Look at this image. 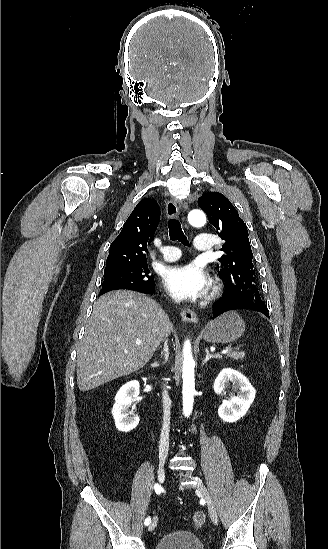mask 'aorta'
Segmentation results:
<instances>
[{
    "label": "aorta",
    "instance_id": "aorta-1",
    "mask_svg": "<svg viewBox=\"0 0 328 549\" xmlns=\"http://www.w3.org/2000/svg\"><path fill=\"white\" fill-rule=\"evenodd\" d=\"M188 221L194 227H201L206 223L205 214L198 209H194L188 214ZM195 362L191 352L190 341L187 340L183 346V365H182V379H183V413L186 417H189L192 413L194 393H195V378H194Z\"/></svg>",
    "mask_w": 328,
    "mask_h": 549
}]
</instances>
